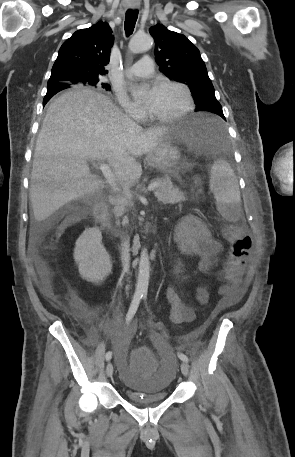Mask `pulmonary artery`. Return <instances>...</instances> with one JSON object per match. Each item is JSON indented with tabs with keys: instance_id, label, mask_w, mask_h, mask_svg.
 I'll use <instances>...</instances> for the list:
<instances>
[{
	"instance_id": "e3ab8cb5",
	"label": "pulmonary artery",
	"mask_w": 295,
	"mask_h": 457,
	"mask_svg": "<svg viewBox=\"0 0 295 457\" xmlns=\"http://www.w3.org/2000/svg\"><path fill=\"white\" fill-rule=\"evenodd\" d=\"M154 70V63L151 57L144 56L137 63L127 70L129 77H146Z\"/></svg>"
}]
</instances>
